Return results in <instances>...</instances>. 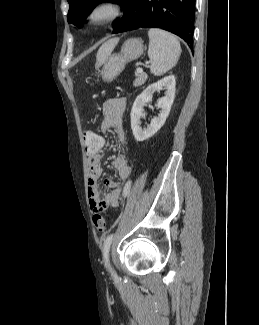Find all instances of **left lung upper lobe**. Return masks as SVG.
Listing matches in <instances>:
<instances>
[{
    "instance_id": "left-lung-upper-lobe-1",
    "label": "left lung upper lobe",
    "mask_w": 259,
    "mask_h": 325,
    "mask_svg": "<svg viewBox=\"0 0 259 325\" xmlns=\"http://www.w3.org/2000/svg\"><path fill=\"white\" fill-rule=\"evenodd\" d=\"M69 2L68 22L82 27L81 22L91 13L93 8L101 2H112L120 4L124 10L129 0H67ZM118 20L113 22V27L116 26Z\"/></svg>"
}]
</instances>
